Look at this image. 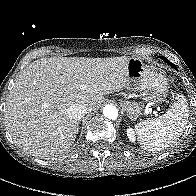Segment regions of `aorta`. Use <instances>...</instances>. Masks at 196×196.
<instances>
[{
	"mask_svg": "<svg viewBox=\"0 0 196 196\" xmlns=\"http://www.w3.org/2000/svg\"><path fill=\"white\" fill-rule=\"evenodd\" d=\"M103 115L110 120H116L118 117V109L113 105H106L103 108Z\"/></svg>",
	"mask_w": 196,
	"mask_h": 196,
	"instance_id": "762f6f07",
	"label": "aorta"
}]
</instances>
